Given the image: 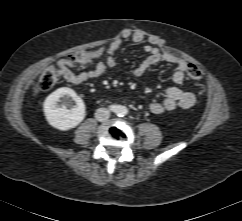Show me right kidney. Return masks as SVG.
I'll return each mask as SVG.
<instances>
[{
    "mask_svg": "<svg viewBox=\"0 0 242 221\" xmlns=\"http://www.w3.org/2000/svg\"><path fill=\"white\" fill-rule=\"evenodd\" d=\"M48 123L59 130L75 128L85 118V104L76 92L68 87L51 93L43 104Z\"/></svg>",
    "mask_w": 242,
    "mask_h": 221,
    "instance_id": "right-kidney-1",
    "label": "right kidney"
}]
</instances>
